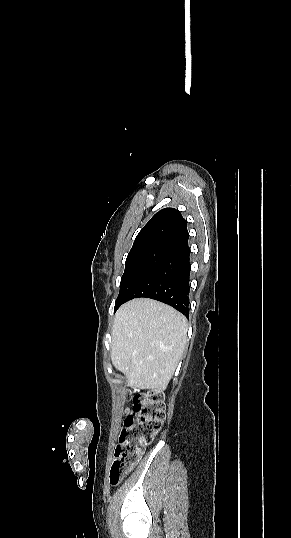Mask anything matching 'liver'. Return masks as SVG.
<instances>
[{
	"label": "liver",
	"instance_id": "obj_1",
	"mask_svg": "<svg viewBox=\"0 0 291 538\" xmlns=\"http://www.w3.org/2000/svg\"><path fill=\"white\" fill-rule=\"evenodd\" d=\"M187 319L161 302L138 298L123 304L112 328L113 365L134 389H166L187 342Z\"/></svg>",
	"mask_w": 291,
	"mask_h": 538
}]
</instances>
